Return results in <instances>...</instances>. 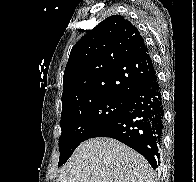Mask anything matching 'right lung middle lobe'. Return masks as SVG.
I'll use <instances>...</instances> for the list:
<instances>
[{
  "instance_id": "obj_1",
  "label": "right lung middle lobe",
  "mask_w": 196,
  "mask_h": 182,
  "mask_svg": "<svg viewBox=\"0 0 196 182\" xmlns=\"http://www.w3.org/2000/svg\"><path fill=\"white\" fill-rule=\"evenodd\" d=\"M127 103L128 99L100 97L62 112L58 166L69 159L81 142L121 113Z\"/></svg>"
}]
</instances>
